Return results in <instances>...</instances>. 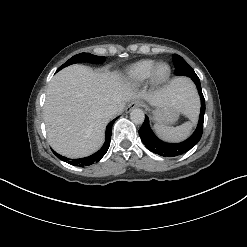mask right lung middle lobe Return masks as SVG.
I'll use <instances>...</instances> for the list:
<instances>
[{
	"instance_id": "right-lung-middle-lobe-1",
	"label": "right lung middle lobe",
	"mask_w": 247,
	"mask_h": 247,
	"mask_svg": "<svg viewBox=\"0 0 247 247\" xmlns=\"http://www.w3.org/2000/svg\"><path fill=\"white\" fill-rule=\"evenodd\" d=\"M104 61H105V57L103 56H95L89 53H80L70 58L61 67H59L57 71L63 69L66 66H69L71 64L78 63V62H89V63L99 64V63H103Z\"/></svg>"
}]
</instances>
